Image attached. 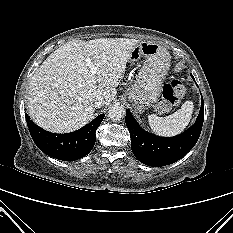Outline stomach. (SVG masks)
<instances>
[{
  "instance_id": "0dacf381",
  "label": "stomach",
  "mask_w": 233,
  "mask_h": 233,
  "mask_svg": "<svg viewBox=\"0 0 233 233\" xmlns=\"http://www.w3.org/2000/svg\"><path fill=\"white\" fill-rule=\"evenodd\" d=\"M145 57L135 83L127 90L128 100L138 112L154 106L161 93L162 81L170 65L166 48L149 41H140L131 51L130 62Z\"/></svg>"
}]
</instances>
